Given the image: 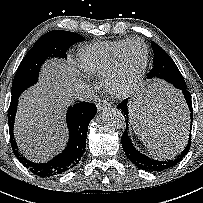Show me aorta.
<instances>
[{
    "label": "aorta",
    "mask_w": 203,
    "mask_h": 203,
    "mask_svg": "<svg viewBox=\"0 0 203 203\" xmlns=\"http://www.w3.org/2000/svg\"><path fill=\"white\" fill-rule=\"evenodd\" d=\"M103 122L112 129H122L125 126V117L117 108H106L102 114Z\"/></svg>",
    "instance_id": "aorta-1"
}]
</instances>
